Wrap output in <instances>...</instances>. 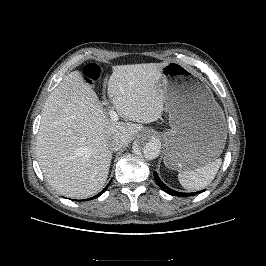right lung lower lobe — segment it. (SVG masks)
<instances>
[{
  "mask_svg": "<svg viewBox=\"0 0 266 266\" xmlns=\"http://www.w3.org/2000/svg\"><path fill=\"white\" fill-rule=\"evenodd\" d=\"M110 184V183H109ZM109 184L99 193V194H97L96 196H94V197H92V198H90V199H93V198H97V197H99L100 195H102L105 191H106V189H107V187L109 186Z\"/></svg>",
  "mask_w": 266,
  "mask_h": 266,
  "instance_id": "obj_1",
  "label": "right lung lower lobe"
}]
</instances>
